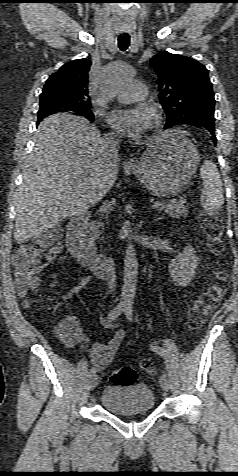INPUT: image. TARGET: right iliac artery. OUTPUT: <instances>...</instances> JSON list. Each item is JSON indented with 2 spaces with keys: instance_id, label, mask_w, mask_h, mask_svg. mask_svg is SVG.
<instances>
[{
  "instance_id": "1",
  "label": "right iliac artery",
  "mask_w": 238,
  "mask_h": 476,
  "mask_svg": "<svg viewBox=\"0 0 238 476\" xmlns=\"http://www.w3.org/2000/svg\"><path fill=\"white\" fill-rule=\"evenodd\" d=\"M124 310H125V305H123V304H118L114 309H112V310L109 312L108 317H107L108 322H109V323L114 322V321L118 318V316H120V315L124 312ZM95 373H96V369H95V368H91V369L89 370V375H90V376L93 375V374H95Z\"/></svg>"
}]
</instances>
